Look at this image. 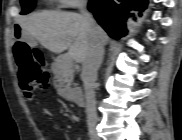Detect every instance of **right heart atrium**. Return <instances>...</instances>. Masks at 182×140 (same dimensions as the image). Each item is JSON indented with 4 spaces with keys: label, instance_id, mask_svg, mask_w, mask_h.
Masks as SVG:
<instances>
[{
    "label": "right heart atrium",
    "instance_id": "right-heart-atrium-1",
    "mask_svg": "<svg viewBox=\"0 0 182 140\" xmlns=\"http://www.w3.org/2000/svg\"><path fill=\"white\" fill-rule=\"evenodd\" d=\"M84 0H60V4L66 8H80L85 5Z\"/></svg>",
    "mask_w": 182,
    "mask_h": 140
}]
</instances>
